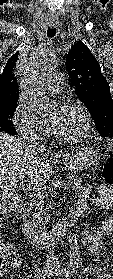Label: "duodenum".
<instances>
[{
	"label": "duodenum",
	"mask_w": 113,
	"mask_h": 279,
	"mask_svg": "<svg viewBox=\"0 0 113 279\" xmlns=\"http://www.w3.org/2000/svg\"><path fill=\"white\" fill-rule=\"evenodd\" d=\"M85 209V204L79 203L66 212L58 223L38 226L32 223L29 210L23 208V233L28 240L39 243L41 246L56 245L61 242L63 235L69 230L73 222L84 213ZM87 241V238L82 240L84 244H87Z\"/></svg>",
	"instance_id": "1"
}]
</instances>
